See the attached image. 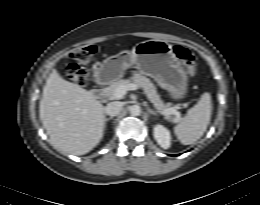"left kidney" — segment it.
<instances>
[{
	"instance_id": "obj_1",
	"label": "left kidney",
	"mask_w": 260,
	"mask_h": 205,
	"mask_svg": "<svg viewBox=\"0 0 260 205\" xmlns=\"http://www.w3.org/2000/svg\"><path fill=\"white\" fill-rule=\"evenodd\" d=\"M154 138L157 143L164 149H168L171 145V135L162 125H156L153 130Z\"/></svg>"
}]
</instances>
